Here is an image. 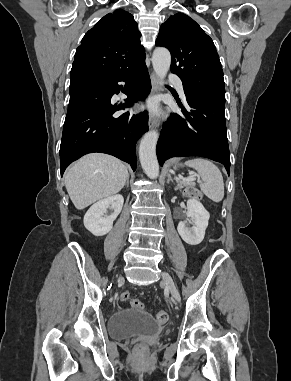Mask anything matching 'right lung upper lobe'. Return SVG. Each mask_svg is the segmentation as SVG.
Segmentation results:
<instances>
[{"label": "right lung upper lobe", "mask_w": 291, "mask_h": 381, "mask_svg": "<svg viewBox=\"0 0 291 381\" xmlns=\"http://www.w3.org/2000/svg\"><path fill=\"white\" fill-rule=\"evenodd\" d=\"M133 15L117 9L90 29L77 48L71 73L119 74L145 60Z\"/></svg>", "instance_id": "cb5924a9"}]
</instances>
